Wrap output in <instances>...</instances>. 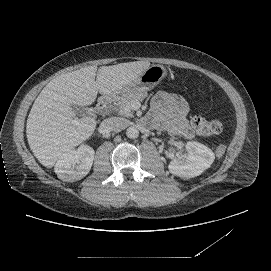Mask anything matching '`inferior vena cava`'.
I'll return each instance as SVG.
<instances>
[{"label":"inferior vena cava","mask_w":271,"mask_h":271,"mask_svg":"<svg viewBox=\"0 0 271 271\" xmlns=\"http://www.w3.org/2000/svg\"><path fill=\"white\" fill-rule=\"evenodd\" d=\"M127 121L123 118H109L106 119L99 127L101 134H106L109 131L119 133L127 127Z\"/></svg>","instance_id":"inferior-vena-cava-1"}]
</instances>
